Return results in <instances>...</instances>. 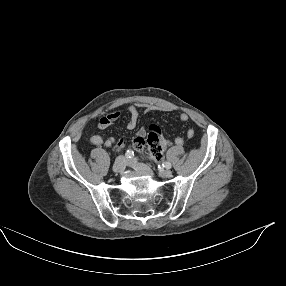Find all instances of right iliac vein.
I'll return each instance as SVG.
<instances>
[{"label": "right iliac vein", "instance_id": "1", "mask_svg": "<svg viewBox=\"0 0 286 286\" xmlns=\"http://www.w3.org/2000/svg\"><path fill=\"white\" fill-rule=\"evenodd\" d=\"M126 167V160L123 156H119L112 167L113 172L115 173H122Z\"/></svg>", "mask_w": 286, "mask_h": 286}]
</instances>
